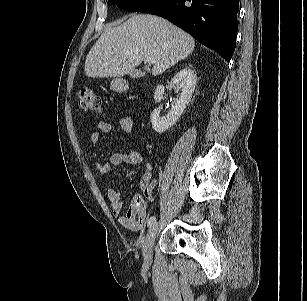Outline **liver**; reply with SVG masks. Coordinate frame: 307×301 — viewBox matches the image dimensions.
Masks as SVG:
<instances>
[{
	"mask_svg": "<svg viewBox=\"0 0 307 301\" xmlns=\"http://www.w3.org/2000/svg\"><path fill=\"white\" fill-rule=\"evenodd\" d=\"M194 39L169 21L154 15H134L106 29L91 48L85 73L91 78L120 77L132 72L147 57L154 59V76L190 55Z\"/></svg>",
	"mask_w": 307,
	"mask_h": 301,
	"instance_id": "liver-1",
	"label": "liver"
}]
</instances>
